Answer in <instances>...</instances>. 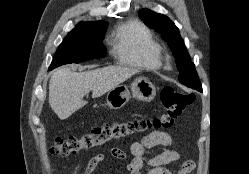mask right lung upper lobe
Returning a JSON list of instances; mask_svg holds the SVG:
<instances>
[{
  "label": "right lung upper lobe",
  "instance_id": "1",
  "mask_svg": "<svg viewBox=\"0 0 249 174\" xmlns=\"http://www.w3.org/2000/svg\"><path fill=\"white\" fill-rule=\"evenodd\" d=\"M95 23H106V22H104V21H97V22H81V23H79V24L75 27V29H73L72 31H75V30H78V29H82V28H84V27H87V26H89V25H91V24H95Z\"/></svg>",
  "mask_w": 249,
  "mask_h": 174
}]
</instances>
